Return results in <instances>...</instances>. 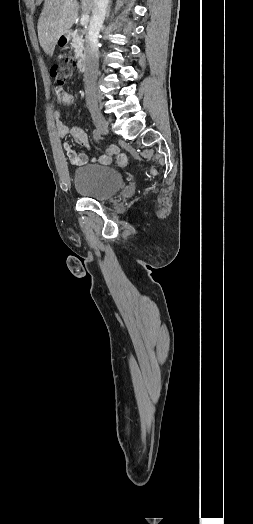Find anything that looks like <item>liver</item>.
Listing matches in <instances>:
<instances>
[{
    "label": "liver",
    "mask_w": 253,
    "mask_h": 524,
    "mask_svg": "<svg viewBox=\"0 0 253 524\" xmlns=\"http://www.w3.org/2000/svg\"><path fill=\"white\" fill-rule=\"evenodd\" d=\"M80 8L84 14H90L94 0H81V6L77 0H45L37 29L40 45L47 55H53L58 38L68 33Z\"/></svg>",
    "instance_id": "6515ba94"
}]
</instances>
